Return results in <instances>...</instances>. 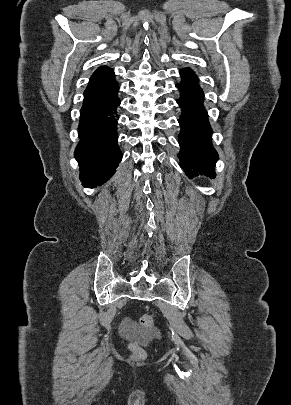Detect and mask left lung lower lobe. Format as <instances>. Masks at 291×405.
<instances>
[{"label": "left lung lower lobe", "mask_w": 291, "mask_h": 405, "mask_svg": "<svg viewBox=\"0 0 291 405\" xmlns=\"http://www.w3.org/2000/svg\"><path fill=\"white\" fill-rule=\"evenodd\" d=\"M183 77L176 87L181 91L177 103L182 108L178 122L181 133L178 141L181 150L178 154L180 166L188 177L200 174L214 175V166L218 160L217 152L210 143V125L207 122L206 110L203 106V90L198 84V77L192 69L180 70Z\"/></svg>", "instance_id": "1"}]
</instances>
